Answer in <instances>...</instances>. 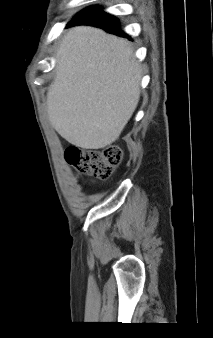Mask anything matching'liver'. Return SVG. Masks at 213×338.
I'll use <instances>...</instances> for the list:
<instances>
[{
	"label": "liver",
	"mask_w": 213,
	"mask_h": 338,
	"mask_svg": "<svg viewBox=\"0 0 213 338\" xmlns=\"http://www.w3.org/2000/svg\"><path fill=\"white\" fill-rule=\"evenodd\" d=\"M47 93L48 118L69 143L101 149L117 140L140 98L141 68L125 39L88 26L68 30Z\"/></svg>",
	"instance_id": "6515ba94"
}]
</instances>
